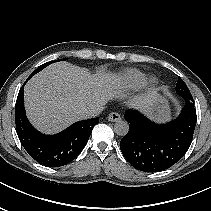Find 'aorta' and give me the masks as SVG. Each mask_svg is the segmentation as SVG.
<instances>
[{
	"label": "aorta",
	"mask_w": 211,
	"mask_h": 211,
	"mask_svg": "<svg viewBox=\"0 0 211 211\" xmlns=\"http://www.w3.org/2000/svg\"><path fill=\"white\" fill-rule=\"evenodd\" d=\"M129 131V125L126 121L119 120L114 125V132L119 136H125Z\"/></svg>",
	"instance_id": "obj_1"
}]
</instances>
